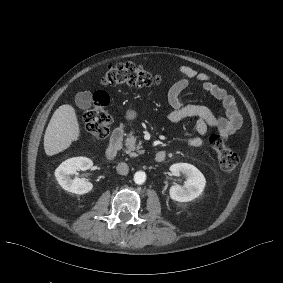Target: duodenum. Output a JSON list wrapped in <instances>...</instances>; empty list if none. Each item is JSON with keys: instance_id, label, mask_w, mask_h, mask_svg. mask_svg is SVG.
Returning <instances> with one entry per match:
<instances>
[{"instance_id": "duodenum-1", "label": "duodenum", "mask_w": 283, "mask_h": 283, "mask_svg": "<svg viewBox=\"0 0 283 283\" xmlns=\"http://www.w3.org/2000/svg\"><path fill=\"white\" fill-rule=\"evenodd\" d=\"M122 140H123V128L117 127L114 129L111 135L110 142L106 150L107 160H113L116 157L117 153L121 148ZM154 159L158 163L163 162L166 159V152L164 150L157 151Z\"/></svg>"}]
</instances>
